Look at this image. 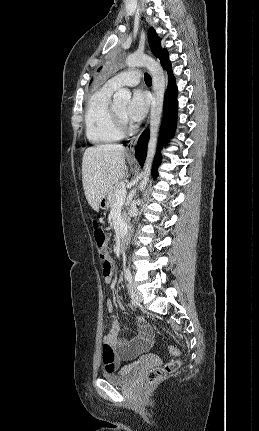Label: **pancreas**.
<instances>
[{
  "label": "pancreas",
  "mask_w": 259,
  "mask_h": 431,
  "mask_svg": "<svg viewBox=\"0 0 259 431\" xmlns=\"http://www.w3.org/2000/svg\"><path fill=\"white\" fill-rule=\"evenodd\" d=\"M122 188H124V184H123V182H117L110 190H109V193H108V199H109V207L110 208H113V206L116 204V202H117V196H116V192L119 190V189H122ZM124 215H125V212H124ZM123 215V216H124Z\"/></svg>",
  "instance_id": "pancreas-1"
}]
</instances>
